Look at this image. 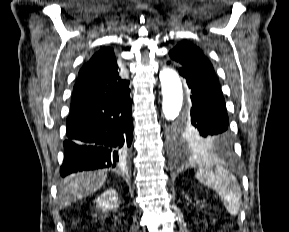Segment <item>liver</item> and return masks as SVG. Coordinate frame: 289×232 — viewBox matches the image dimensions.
Segmentation results:
<instances>
[{
  "label": "liver",
  "mask_w": 289,
  "mask_h": 232,
  "mask_svg": "<svg viewBox=\"0 0 289 232\" xmlns=\"http://www.w3.org/2000/svg\"><path fill=\"white\" fill-rule=\"evenodd\" d=\"M106 178L107 174L104 171L81 173L61 188L59 201L66 205L88 196L100 189Z\"/></svg>",
  "instance_id": "6515ba94"
}]
</instances>
